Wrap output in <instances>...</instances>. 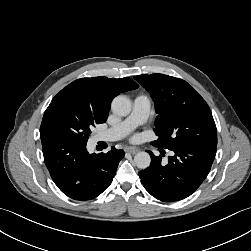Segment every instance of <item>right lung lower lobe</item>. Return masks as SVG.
<instances>
[{"instance_id": "right-lung-lower-lobe-1", "label": "right lung lower lobe", "mask_w": 251, "mask_h": 251, "mask_svg": "<svg viewBox=\"0 0 251 251\" xmlns=\"http://www.w3.org/2000/svg\"><path fill=\"white\" fill-rule=\"evenodd\" d=\"M42 141L44 162L57 187L75 200H90L112 182L123 150L89 154L86 145L52 138Z\"/></svg>"}]
</instances>
